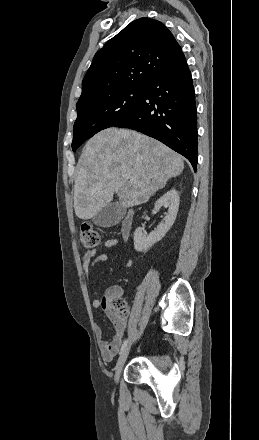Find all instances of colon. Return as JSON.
Instances as JSON below:
<instances>
[{
	"mask_svg": "<svg viewBox=\"0 0 259 440\" xmlns=\"http://www.w3.org/2000/svg\"><path fill=\"white\" fill-rule=\"evenodd\" d=\"M80 243L85 248H94L101 243V237L97 229L89 224L83 223L80 228ZM115 291L111 295L104 298V304L111 306L118 313V319L122 318L127 312V307L124 301L115 296Z\"/></svg>",
	"mask_w": 259,
	"mask_h": 440,
	"instance_id": "1",
	"label": "colon"
}]
</instances>
